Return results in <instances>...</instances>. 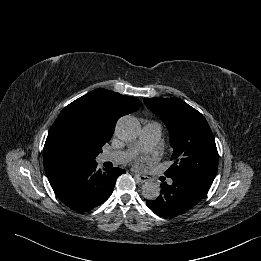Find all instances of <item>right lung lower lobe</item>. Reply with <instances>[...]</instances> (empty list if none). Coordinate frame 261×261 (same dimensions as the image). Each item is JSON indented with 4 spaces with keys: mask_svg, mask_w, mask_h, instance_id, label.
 <instances>
[{
    "mask_svg": "<svg viewBox=\"0 0 261 261\" xmlns=\"http://www.w3.org/2000/svg\"><path fill=\"white\" fill-rule=\"evenodd\" d=\"M125 173L120 168L97 170L91 162L67 168L48 176L56 196L68 207L85 212L104 203L112 194L116 179Z\"/></svg>",
    "mask_w": 261,
    "mask_h": 261,
    "instance_id": "right-lung-lower-lobe-1",
    "label": "right lung lower lobe"
}]
</instances>
